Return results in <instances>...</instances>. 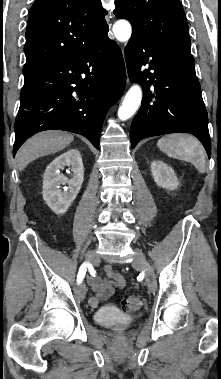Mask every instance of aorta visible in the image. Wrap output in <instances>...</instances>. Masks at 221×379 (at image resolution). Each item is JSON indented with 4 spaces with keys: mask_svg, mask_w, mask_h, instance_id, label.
Segmentation results:
<instances>
[{
    "mask_svg": "<svg viewBox=\"0 0 221 379\" xmlns=\"http://www.w3.org/2000/svg\"><path fill=\"white\" fill-rule=\"evenodd\" d=\"M113 32L118 41L126 42L131 37V25L127 20H119L113 26ZM142 100V90L139 85H133L126 93L119 109L120 120L129 119L138 109Z\"/></svg>",
    "mask_w": 221,
    "mask_h": 379,
    "instance_id": "obj_1",
    "label": "aorta"
}]
</instances>
